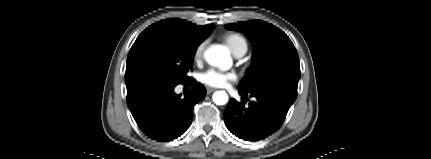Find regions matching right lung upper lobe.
Wrapping results in <instances>:
<instances>
[{"label":"right lung upper lobe","instance_id":"right-lung-upper-lobe-1","mask_svg":"<svg viewBox=\"0 0 431 159\" xmlns=\"http://www.w3.org/2000/svg\"><path fill=\"white\" fill-rule=\"evenodd\" d=\"M147 30L166 32L191 42H202L213 30V24L197 26L181 19H167L152 24ZM131 86H127V89Z\"/></svg>","mask_w":431,"mask_h":159}]
</instances>
